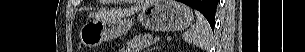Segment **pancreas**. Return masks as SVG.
<instances>
[{
  "mask_svg": "<svg viewBox=\"0 0 305 52\" xmlns=\"http://www.w3.org/2000/svg\"><path fill=\"white\" fill-rule=\"evenodd\" d=\"M152 35L144 34L137 35L127 42V52H140L142 49L149 47L153 44Z\"/></svg>",
  "mask_w": 305,
  "mask_h": 52,
  "instance_id": "pancreas-1",
  "label": "pancreas"
}]
</instances>
